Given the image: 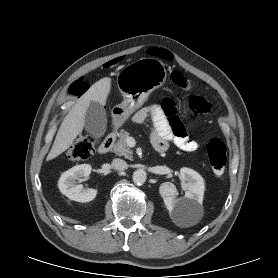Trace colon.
Masks as SVG:
<instances>
[{
	"instance_id": "obj_1",
	"label": "colon",
	"mask_w": 278,
	"mask_h": 278,
	"mask_svg": "<svg viewBox=\"0 0 278 278\" xmlns=\"http://www.w3.org/2000/svg\"><path fill=\"white\" fill-rule=\"evenodd\" d=\"M171 79L175 85L186 92L192 90L190 80L180 71H174ZM88 89V84L83 79L74 81L69 92L72 95L80 96ZM188 106L191 112L196 116L206 115L211 111V104L204 97L199 95H190ZM94 152V142L90 138L83 137L78 139L67 151V158L70 160H86ZM207 155L210 166L216 176H222L227 164V151L225 144L218 138H213L208 142Z\"/></svg>"
}]
</instances>
